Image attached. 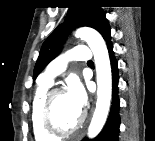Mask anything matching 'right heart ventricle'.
Listing matches in <instances>:
<instances>
[{
	"mask_svg": "<svg viewBox=\"0 0 155 141\" xmlns=\"http://www.w3.org/2000/svg\"><path fill=\"white\" fill-rule=\"evenodd\" d=\"M50 85L51 83L48 82H40L33 97L32 111H31V125L34 137L37 141H52L56 138L55 136L45 131V129L41 125L40 120L42 101L47 91L49 90Z\"/></svg>",
	"mask_w": 155,
	"mask_h": 141,
	"instance_id": "obj_1",
	"label": "right heart ventricle"
}]
</instances>
